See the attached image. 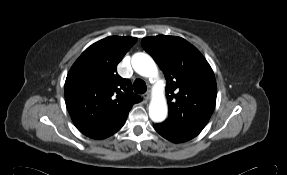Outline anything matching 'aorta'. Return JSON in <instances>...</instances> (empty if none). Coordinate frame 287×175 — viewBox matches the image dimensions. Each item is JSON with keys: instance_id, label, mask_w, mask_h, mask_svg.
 I'll list each match as a JSON object with an SVG mask.
<instances>
[{"instance_id": "aorta-1", "label": "aorta", "mask_w": 287, "mask_h": 175, "mask_svg": "<svg viewBox=\"0 0 287 175\" xmlns=\"http://www.w3.org/2000/svg\"><path fill=\"white\" fill-rule=\"evenodd\" d=\"M132 67L143 77L155 78L158 75L157 65L146 53H136L132 57ZM168 112L167 101L163 92L156 94L149 104V117L154 122H162Z\"/></svg>"}]
</instances>
